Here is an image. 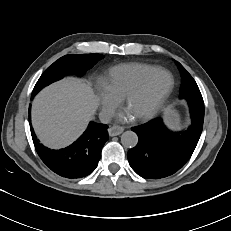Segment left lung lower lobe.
Wrapping results in <instances>:
<instances>
[{
	"label": "left lung lower lobe",
	"instance_id": "obj_1",
	"mask_svg": "<svg viewBox=\"0 0 231 231\" xmlns=\"http://www.w3.org/2000/svg\"><path fill=\"white\" fill-rule=\"evenodd\" d=\"M191 120V126L183 132L167 129L160 118L133 127L139 142L127 154L131 168L148 179H160L177 172L189 160L199 141L204 113L191 111Z\"/></svg>",
	"mask_w": 231,
	"mask_h": 231
}]
</instances>
